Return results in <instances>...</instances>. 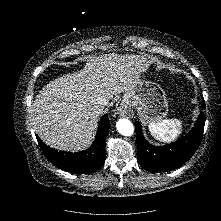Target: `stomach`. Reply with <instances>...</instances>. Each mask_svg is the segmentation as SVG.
<instances>
[{"label":"stomach","instance_id":"stomach-1","mask_svg":"<svg viewBox=\"0 0 221 221\" xmlns=\"http://www.w3.org/2000/svg\"><path fill=\"white\" fill-rule=\"evenodd\" d=\"M122 104L135 107L139 115L148 122L160 121L168 113V102L163 89L142 77L124 93Z\"/></svg>","mask_w":221,"mask_h":221}]
</instances>
